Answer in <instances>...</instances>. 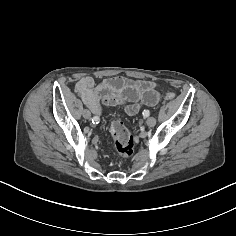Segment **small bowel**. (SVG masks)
<instances>
[{
    "instance_id": "obj_1",
    "label": "small bowel",
    "mask_w": 236,
    "mask_h": 236,
    "mask_svg": "<svg viewBox=\"0 0 236 236\" xmlns=\"http://www.w3.org/2000/svg\"><path fill=\"white\" fill-rule=\"evenodd\" d=\"M154 88L153 82L127 80L123 77H113L96 85L90 76L82 77L75 86L76 92L95 115H99L102 111L99 98L110 94L127 98L129 104L125 106V111L130 115L136 114L142 104L154 105L157 103L159 96Z\"/></svg>"
}]
</instances>
